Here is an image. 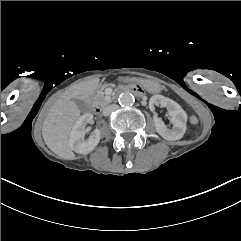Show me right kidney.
I'll return each mask as SVG.
<instances>
[{"label":"right kidney","mask_w":241,"mask_h":241,"mask_svg":"<svg viewBox=\"0 0 241 241\" xmlns=\"http://www.w3.org/2000/svg\"><path fill=\"white\" fill-rule=\"evenodd\" d=\"M93 124V114L85 113L78 118L72 127L69 138L71 150L79 154L91 152L100 141V130L95 129L87 141H83L85 127L87 124Z\"/></svg>","instance_id":"ca27d5eb"}]
</instances>
